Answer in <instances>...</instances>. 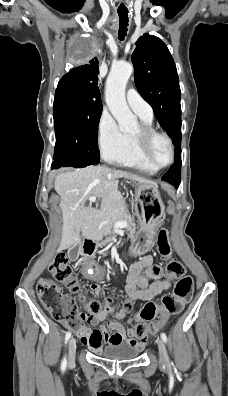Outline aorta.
Here are the masks:
<instances>
[{"label":"aorta","instance_id":"obj_1","mask_svg":"<svg viewBox=\"0 0 228 396\" xmlns=\"http://www.w3.org/2000/svg\"><path fill=\"white\" fill-rule=\"evenodd\" d=\"M132 72L131 63H116L112 66L106 80V104L122 132H132L138 126L137 118L130 111L125 98L126 84Z\"/></svg>","mask_w":228,"mask_h":396}]
</instances>
